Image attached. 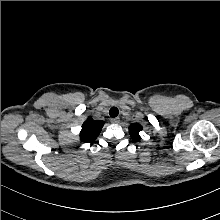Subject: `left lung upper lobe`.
Listing matches in <instances>:
<instances>
[{
  "label": "left lung upper lobe",
  "instance_id": "obj_1",
  "mask_svg": "<svg viewBox=\"0 0 220 220\" xmlns=\"http://www.w3.org/2000/svg\"><path fill=\"white\" fill-rule=\"evenodd\" d=\"M129 130L132 139L138 141L140 139L139 132L142 130V126L138 123H134L130 125Z\"/></svg>",
  "mask_w": 220,
  "mask_h": 220
}]
</instances>
